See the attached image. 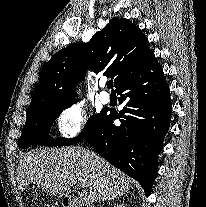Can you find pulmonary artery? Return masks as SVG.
<instances>
[{
	"label": "pulmonary artery",
	"mask_w": 206,
	"mask_h": 207,
	"mask_svg": "<svg viewBox=\"0 0 206 207\" xmlns=\"http://www.w3.org/2000/svg\"><path fill=\"white\" fill-rule=\"evenodd\" d=\"M102 87L105 88V84H103ZM110 99H111V96H110V94L107 91H105V90L101 91V93H100V101L102 103L107 104V103L110 102Z\"/></svg>",
	"instance_id": "1"
}]
</instances>
